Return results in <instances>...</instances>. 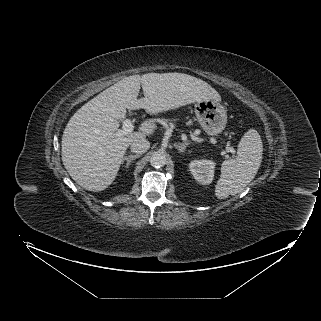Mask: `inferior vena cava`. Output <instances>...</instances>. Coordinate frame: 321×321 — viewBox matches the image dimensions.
Returning a JSON list of instances; mask_svg holds the SVG:
<instances>
[{"label":"inferior vena cava","instance_id":"1","mask_svg":"<svg viewBox=\"0 0 321 321\" xmlns=\"http://www.w3.org/2000/svg\"><path fill=\"white\" fill-rule=\"evenodd\" d=\"M150 148V142L145 139H136L131 143V151L137 155L145 153Z\"/></svg>","mask_w":321,"mask_h":321}]
</instances>
